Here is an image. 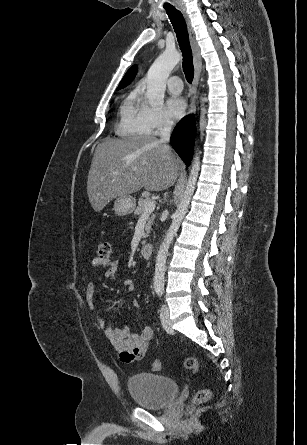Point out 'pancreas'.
<instances>
[{
  "instance_id": "pancreas-1",
  "label": "pancreas",
  "mask_w": 307,
  "mask_h": 445,
  "mask_svg": "<svg viewBox=\"0 0 307 445\" xmlns=\"http://www.w3.org/2000/svg\"><path fill=\"white\" fill-rule=\"evenodd\" d=\"M150 200H152V198H148V196H141V198H138V206H136L135 210H134V214H143L144 210H145V204H148V202H150ZM154 218H155V214H151V216H149L148 218V223L145 227L147 233H145V235H148L150 229H151V225H153L154 223ZM145 239V237H144Z\"/></svg>"
}]
</instances>
